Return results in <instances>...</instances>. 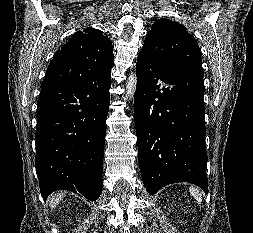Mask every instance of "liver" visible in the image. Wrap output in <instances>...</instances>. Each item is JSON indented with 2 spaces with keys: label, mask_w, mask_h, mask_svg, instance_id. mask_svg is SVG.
Returning a JSON list of instances; mask_svg holds the SVG:
<instances>
[{
  "label": "liver",
  "mask_w": 253,
  "mask_h": 233,
  "mask_svg": "<svg viewBox=\"0 0 253 233\" xmlns=\"http://www.w3.org/2000/svg\"><path fill=\"white\" fill-rule=\"evenodd\" d=\"M63 198H64L63 193H57L53 195L49 200L50 207L55 208Z\"/></svg>",
  "instance_id": "obj_1"
}]
</instances>
